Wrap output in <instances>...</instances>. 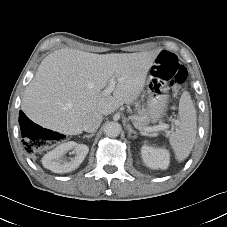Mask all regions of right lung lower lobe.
Masks as SVG:
<instances>
[{
    "instance_id": "98d812e1",
    "label": "right lung lower lobe",
    "mask_w": 227,
    "mask_h": 227,
    "mask_svg": "<svg viewBox=\"0 0 227 227\" xmlns=\"http://www.w3.org/2000/svg\"><path fill=\"white\" fill-rule=\"evenodd\" d=\"M19 123H20V127H21V131H24V129L30 125V124H34L32 121H30L25 114L20 111L19 113Z\"/></svg>"
}]
</instances>
